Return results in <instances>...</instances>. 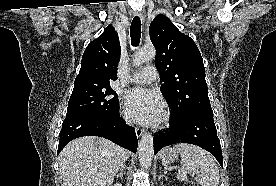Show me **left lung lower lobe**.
I'll list each match as a JSON object with an SVG mask.
<instances>
[{
  "label": "left lung lower lobe",
  "mask_w": 276,
  "mask_h": 186,
  "mask_svg": "<svg viewBox=\"0 0 276 186\" xmlns=\"http://www.w3.org/2000/svg\"><path fill=\"white\" fill-rule=\"evenodd\" d=\"M165 132L154 135V154L176 143L197 145L210 152L223 167L220 140L213 121V112L194 114L181 119L171 118Z\"/></svg>",
  "instance_id": "left-lung-lower-lobe-1"
}]
</instances>
